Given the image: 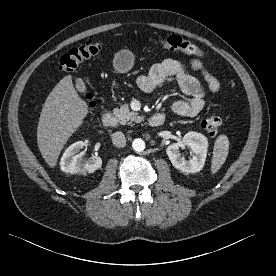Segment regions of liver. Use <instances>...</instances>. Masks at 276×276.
I'll return each instance as SVG.
<instances>
[{
  "label": "liver",
  "instance_id": "obj_1",
  "mask_svg": "<svg viewBox=\"0 0 276 276\" xmlns=\"http://www.w3.org/2000/svg\"><path fill=\"white\" fill-rule=\"evenodd\" d=\"M88 106L65 76L48 95L38 122L37 144L46 163L54 168L70 136L82 125Z\"/></svg>",
  "mask_w": 276,
  "mask_h": 276
}]
</instances>
